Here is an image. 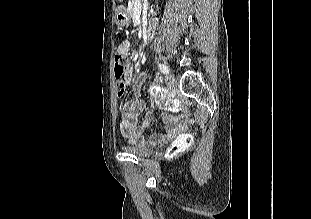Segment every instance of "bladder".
<instances>
[{"mask_svg": "<svg viewBox=\"0 0 311 219\" xmlns=\"http://www.w3.org/2000/svg\"><path fill=\"white\" fill-rule=\"evenodd\" d=\"M155 145H141L135 144L123 147L124 152L134 155L136 157H146L152 153Z\"/></svg>", "mask_w": 311, "mask_h": 219, "instance_id": "31cf9c89", "label": "bladder"}]
</instances>
